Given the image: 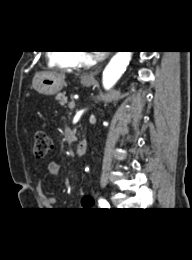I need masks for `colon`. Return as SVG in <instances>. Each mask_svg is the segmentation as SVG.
<instances>
[{"label": "colon", "mask_w": 192, "mask_h": 260, "mask_svg": "<svg viewBox=\"0 0 192 260\" xmlns=\"http://www.w3.org/2000/svg\"><path fill=\"white\" fill-rule=\"evenodd\" d=\"M51 148V141L42 130L34 132V154L38 158L44 157Z\"/></svg>", "instance_id": "colon-1"}]
</instances>
